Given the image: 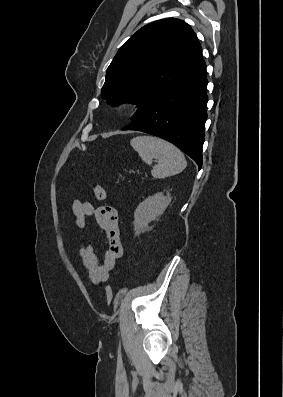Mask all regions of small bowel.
I'll list each match as a JSON object with an SVG mask.
<instances>
[{
  "label": "small bowel",
  "instance_id": "1",
  "mask_svg": "<svg viewBox=\"0 0 283 397\" xmlns=\"http://www.w3.org/2000/svg\"><path fill=\"white\" fill-rule=\"evenodd\" d=\"M72 215L79 229H84L87 218L93 217L104 232L108 247L102 262H99L91 244L82 245L79 252L90 280L94 284L107 281L117 260L123 255L117 210L110 206L94 207L88 201L76 200L72 205Z\"/></svg>",
  "mask_w": 283,
  "mask_h": 397
}]
</instances>
